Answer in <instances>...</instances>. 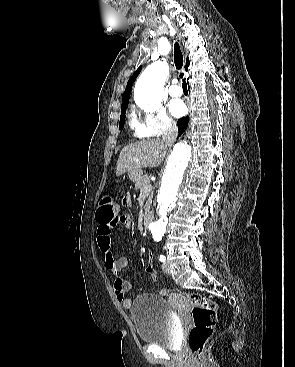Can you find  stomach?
Masks as SVG:
<instances>
[{
	"instance_id": "obj_1",
	"label": "stomach",
	"mask_w": 295,
	"mask_h": 367,
	"mask_svg": "<svg viewBox=\"0 0 295 367\" xmlns=\"http://www.w3.org/2000/svg\"><path fill=\"white\" fill-rule=\"evenodd\" d=\"M142 174L143 172L141 169L128 172L130 180L135 183L141 180Z\"/></svg>"
}]
</instances>
